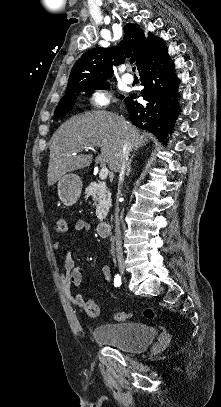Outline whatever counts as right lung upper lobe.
I'll return each instance as SVG.
<instances>
[{
	"label": "right lung upper lobe",
	"instance_id": "cb5924a9",
	"mask_svg": "<svg viewBox=\"0 0 221 407\" xmlns=\"http://www.w3.org/2000/svg\"><path fill=\"white\" fill-rule=\"evenodd\" d=\"M124 32V39L116 47L89 50L76 61L66 92L104 84L113 75L112 65L124 62L123 54L131 57V61H136L137 69L140 70L164 47L161 38L150 35L146 38L136 24H127Z\"/></svg>",
	"mask_w": 221,
	"mask_h": 407
}]
</instances>
